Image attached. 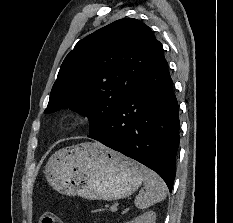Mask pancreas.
Masks as SVG:
<instances>
[{"label": "pancreas", "instance_id": "obj_1", "mask_svg": "<svg viewBox=\"0 0 233 223\" xmlns=\"http://www.w3.org/2000/svg\"><path fill=\"white\" fill-rule=\"evenodd\" d=\"M111 209H112V211H114V209H115L114 205H112Z\"/></svg>", "mask_w": 233, "mask_h": 223}]
</instances>
